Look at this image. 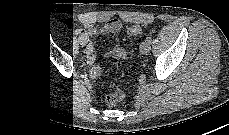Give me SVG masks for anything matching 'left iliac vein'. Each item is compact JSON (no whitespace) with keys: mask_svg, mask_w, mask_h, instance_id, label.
<instances>
[{"mask_svg":"<svg viewBox=\"0 0 229 135\" xmlns=\"http://www.w3.org/2000/svg\"><path fill=\"white\" fill-rule=\"evenodd\" d=\"M142 49H143L144 54L149 53V51L151 50V45H150V43L144 42V43H143Z\"/></svg>","mask_w":229,"mask_h":135,"instance_id":"4c4485c4","label":"left iliac vein"}]
</instances>
